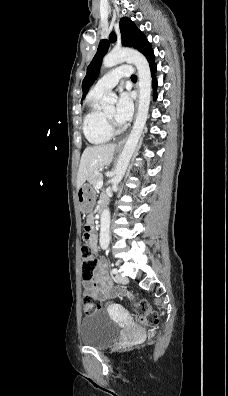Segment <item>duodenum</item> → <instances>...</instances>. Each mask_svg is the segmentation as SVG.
<instances>
[{
    "mask_svg": "<svg viewBox=\"0 0 228 396\" xmlns=\"http://www.w3.org/2000/svg\"><path fill=\"white\" fill-rule=\"evenodd\" d=\"M105 206H106V204H105V202L103 201V202L101 203L100 209H99L100 214H102L103 209L105 208Z\"/></svg>",
    "mask_w": 228,
    "mask_h": 396,
    "instance_id": "410a0bca",
    "label": "duodenum"
}]
</instances>
